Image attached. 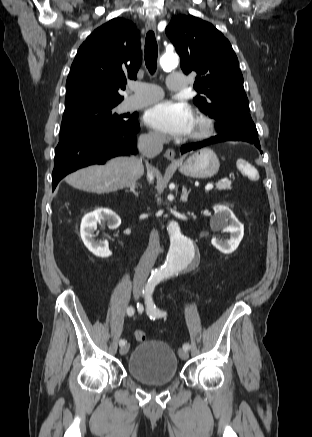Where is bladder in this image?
<instances>
[{
  "mask_svg": "<svg viewBox=\"0 0 312 437\" xmlns=\"http://www.w3.org/2000/svg\"><path fill=\"white\" fill-rule=\"evenodd\" d=\"M127 367L132 378L150 385L169 384L178 375V361L174 350L160 340L138 344L129 356Z\"/></svg>",
  "mask_w": 312,
  "mask_h": 437,
  "instance_id": "obj_1",
  "label": "bladder"
}]
</instances>
